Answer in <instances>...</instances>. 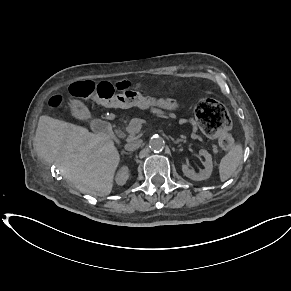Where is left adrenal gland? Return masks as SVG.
<instances>
[{
  "instance_id": "1",
  "label": "left adrenal gland",
  "mask_w": 291,
  "mask_h": 291,
  "mask_svg": "<svg viewBox=\"0 0 291 291\" xmlns=\"http://www.w3.org/2000/svg\"><path fill=\"white\" fill-rule=\"evenodd\" d=\"M182 141H183L182 139L173 140V142H174L175 144H178L179 142H182Z\"/></svg>"
}]
</instances>
